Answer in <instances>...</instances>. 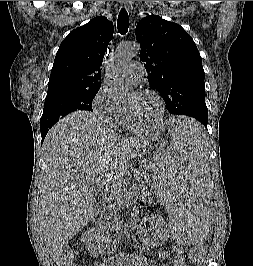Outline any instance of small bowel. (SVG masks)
I'll return each mask as SVG.
<instances>
[{"label":"small bowel","mask_w":253,"mask_h":266,"mask_svg":"<svg viewBox=\"0 0 253 266\" xmlns=\"http://www.w3.org/2000/svg\"><path fill=\"white\" fill-rule=\"evenodd\" d=\"M66 254L63 258V261ZM160 257L163 260L168 261V266H191L185 263L184 258L182 256L181 248H173L171 251H162L160 252ZM117 263H102L96 262L93 266H117ZM124 266H153L148 263L143 257L139 255H132L127 261L124 262Z\"/></svg>","instance_id":"1"}]
</instances>
